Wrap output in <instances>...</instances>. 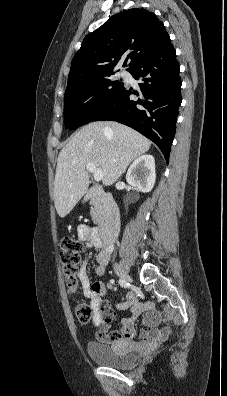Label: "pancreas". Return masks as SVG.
I'll use <instances>...</instances> for the list:
<instances>
[{"label":"pancreas","mask_w":227,"mask_h":396,"mask_svg":"<svg viewBox=\"0 0 227 396\" xmlns=\"http://www.w3.org/2000/svg\"><path fill=\"white\" fill-rule=\"evenodd\" d=\"M91 205L90 215L92 220L95 224H99L101 222L102 209L96 201L91 202Z\"/></svg>","instance_id":"obj_1"}]
</instances>
